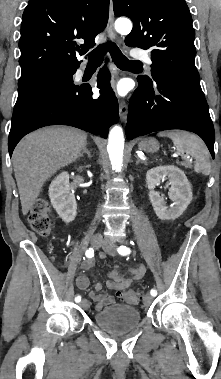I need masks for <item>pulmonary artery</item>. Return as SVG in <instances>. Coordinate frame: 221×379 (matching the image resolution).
<instances>
[{
    "instance_id": "pulmonary-artery-1",
    "label": "pulmonary artery",
    "mask_w": 221,
    "mask_h": 379,
    "mask_svg": "<svg viewBox=\"0 0 221 379\" xmlns=\"http://www.w3.org/2000/svg\"><path fill=\"white\" fill-rule=\"evenodd\" d=\"M131 55H132V57L134 59L143 60V61H145L148 64L152 63V60H151L150 56L145 51L134 50V51H132Z\"/></svg>"
}]
</instances>
